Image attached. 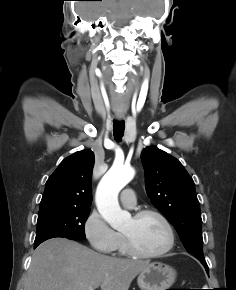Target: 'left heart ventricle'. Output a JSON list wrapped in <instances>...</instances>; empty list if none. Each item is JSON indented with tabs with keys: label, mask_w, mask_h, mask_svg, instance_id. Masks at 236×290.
<instances>
[{
	"label": "left heart ventricle",
	"mask_w": 236,
	"mask_h": 290,
	"mask_svg": "<svg viewBox=\"0 0 236 290\" xmlns=\"http://www.w3.org/2000/svg\"><path fill=\"white\" fill-rule=\"evenodd\" d=\"M122 233L128 235L136 248L145 253L160 251L168 242L165 226L152 215L138 220L131 217Z\"/></svg>",
	"instance_id": "left-heart-ventricle-1"
}]
</instances>
